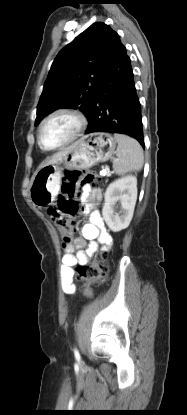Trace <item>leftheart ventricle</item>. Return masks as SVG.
<instances>
[{"instance_id": "left-heart-ventricle-1", "label": "left heart ventricle", "mask_w": 187, "mask_h": 415, "mask_svg": "<svg viewBox=\"0 0 187 415\" xmlns=\"http://www.w3.org/2000/svg\"><path fill=\"white\" fill-rule=\"evenodd\" d=\"M76 120L68 115H58L43 127L42 141L47 147H54L69 139L76 129Z\"/></svg>"}]
</instances>
